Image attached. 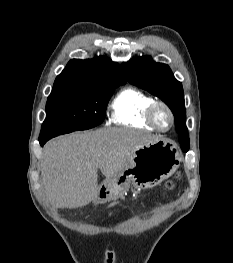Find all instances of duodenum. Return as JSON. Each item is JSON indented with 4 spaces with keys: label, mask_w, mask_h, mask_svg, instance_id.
<instances>
[{
    "label": "duodenum",
    "mask_w": 233,
    "mask_h": 263,
    "mask_svg": "<svg viewBox=\"0 0 233 263\" xmlns=\"http://www.w3.org/2000/svg\"><path fill=\"white\" fill-rule=\"evenodd\" d=\"M104 197V194H99L98 199H102Z\"/></svg>",
    "instance_id": "410a0bca"
}]
</instances>
